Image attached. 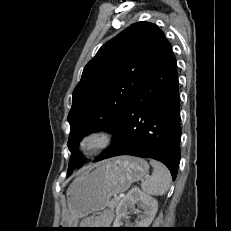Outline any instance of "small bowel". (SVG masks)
I'll return each mask as SVG.
<instances>
[{"mask_svg": "<svg viewBox=\"0 0 231 231\" xmlns=\"http://www.w3.org/2000/svg\"><path fill=\"white\" fill-rule=\"evenodd\" d=\"M114 213L111 210L103 211L98 217L99 226H109L113 221Z\"/></svg>", "mask_w": 231, "mask_h": 231, "instance_id": "obj_1", "label": "small bowel"}]
</instances>
